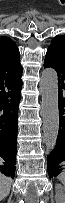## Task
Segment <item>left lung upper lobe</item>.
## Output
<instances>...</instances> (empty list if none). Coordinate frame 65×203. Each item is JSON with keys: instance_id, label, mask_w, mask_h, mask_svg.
<instances>
[{"instance_id": "5c2ea615", "label": "left lung upper lobe", "mask_w": 65, "mask_h": 203, "mask_svg": "<svg viewBox=\"0 0 65 203\" xmlns=\"http://www.w3.org/2000/svg\"><path fill=\"white\" fill-rule=\"evenodd\" d=\"M49 48H56L63 50L65 52V36H58L55 39H53Z\"/></svg>"}]
</instances>
